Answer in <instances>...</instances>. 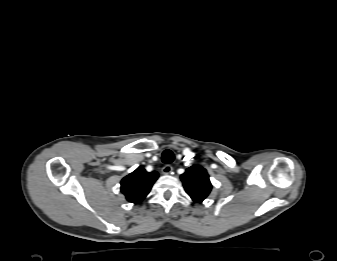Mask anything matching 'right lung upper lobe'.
<instances>
[{"mask_svg": "<svg viewBox=\"0 0 337 261\" xmlns=\"http://www.w3.org/2000/svg\"><path fill=\"white\" fill-rule=\"evenodd\" d=\"M157 178L156 171L147 172L143 167H138L122 179L121 192L129 202L138 204L148 195Z\"/></svg>", "mask_w": 337, "mask_h": 261, "instance_id": "right-lung-upper-lobe-1", "label": "right lung upper lobe"}]
</instances>
